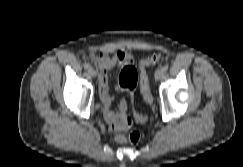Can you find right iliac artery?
Returning <instances> with one entry per match:
<instances>
[{"instance_id": "82829eb1", "label": "right iliac artery", "mask_w": 243, "mask_h": 167, "mask_svg": "<svg viewBox=\"0 0 243 167\" xmlns=\"http://www.w3.org/2000/svg\"><path fill=\"white\" fill-rule=\"evenodd\" d=\"M83 66H84L85 69H89L90 68V64H88V63H85Z\"/></svg>"}]
</instances>
